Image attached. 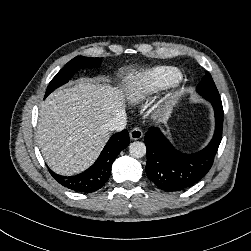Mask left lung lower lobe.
I'll list each match as a JSON object with an SVG mask.
<instances>
[{
	"instance_id": "obj_1",
	"label": "left lung lower lobe",
	"mask_w": 251,
	"mask_h": 251,
	"mask_svg": "<svg viewBox=\"0 0 251 251\" xmlns=\"http://www.w3.org/2000/svg\"><path fill=\"white\" fill-rule=\"evenodd\" d=\"M215 112V132L202 150L185 154L177 150L159 128L150 127L144 142L147 147L146 173L160 189L175 192L200 181L212 167L222 139L223 107L221 99L211 100Z\"/></svg>"
}]
</instances>
